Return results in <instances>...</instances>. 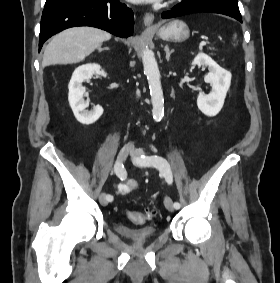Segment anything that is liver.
<instances>
[{
    "mask_svg": "<svg viewBox=\"0 0 280 283\" xmlns=\"http://www.w3.org/2000/svg\"><path fill=\"white\" fill-rule=\"evenodd\" d=\"M111 39V34L93 27H74L57 34L44 51L42 65L73 64L80 62L104 41Z\"/></svg>",
    "mask_w": 280,
    "mask_h": 283,
    "instance_id": "obj_1",
    "label": "liver"
}]
</instances>
